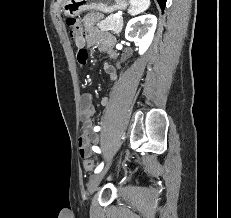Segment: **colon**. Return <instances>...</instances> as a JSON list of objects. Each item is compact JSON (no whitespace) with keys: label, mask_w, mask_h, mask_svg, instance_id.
Returning a JSON list of instances; mask_svg holds the SVG:
<instances>
[{"label":"colon","mask_w":231,"mask_h":218,"mask_svg":"<svg viewBox=\"0 0 231 218\" xmlns=\"http://www.w3.org/2000/svg\"><path fill=\"white\" fill-rule=\"evenodd\" d=\"M66 24L72 40L76 41L77 39L84 37L85 29L79 20L75 18H68ZM81 56H84L85 58L88 57L87 51L85 49L79 50L77 58H80ZM83 166L87 171H91L94 168V161L90 158L85 157L83 160Z\"/></svg>","instance_id":"obj_1"}]
</instances>
